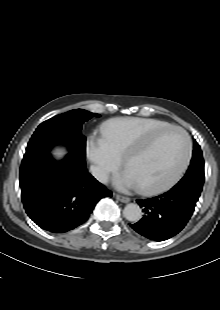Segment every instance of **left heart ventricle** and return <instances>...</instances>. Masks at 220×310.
<instances>
[{
	"mask_svg": "<svg viewBox=\"0 0 220 310\" xmlns=\"http://www.w3.org/2000/svg\"><path fill=\"white\" fill-rule=\"evenodd\" d=\"M180 156H178V157H181V150H180V154H179ZM177 159H179V158H176V162H174V163H177ZM175 165V164H174Z\"/></svg>",
	"mask_w": 220,
	"mask_h": 310,
	"instance_id": "b2bd125f",
	"label": "left heart ventricle"
}]
</instances>
